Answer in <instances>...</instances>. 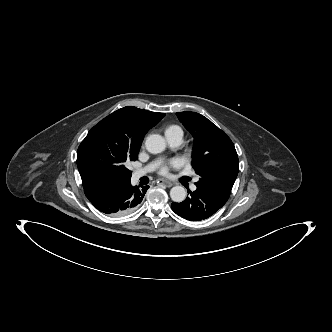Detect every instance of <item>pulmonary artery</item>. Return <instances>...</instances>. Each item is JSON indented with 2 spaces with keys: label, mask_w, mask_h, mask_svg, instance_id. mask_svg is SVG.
Here are the masks:
<instances>
[{
  "label": "pulmonary artery",
  "mask_w": 332,
  "mask_h": 332,
  "mask_svg": "<svg viewBox=\"0 0 332 332\" xmlns=\"http://www.w3.org/2000/svg\"><path fill=\"white\" fill-rule=\"evenodd\" d=\"M169 145L172 147H178L181 143H182V136L181 135H173L170 136L168 138H166ZM155 167V164H150L147 167H145L144 169L141 170H137L133 173V178L134 179H138L141 176L145 175L147 172L151 171L153 168ZM192 190H196V185H192L191 186Z\"/></svg>",
  "instance_id": "1"
}]
</instances>
